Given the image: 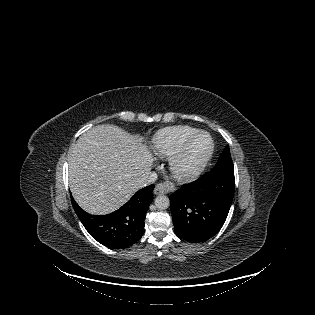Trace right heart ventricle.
I'll return each mask as SVG.
<instances>
[{
    "mask_svg": "<svg viewBox=\"0 0 315 315\" xmlns=\"http://www.w3.org/2000/svg\"><path fill=\"white\" fill-rule=\"evenodd\" d=\"M197 131H199L197 128L187 125L163 128L153 136L150 144L151 149L160 158L170 157L189 136Z\"/></svg>",
    "mask_w": 315,
    "mask_h": 315,
    "instance_id": "e07e8e85",
    "label": "right heart ventricle"
}]
</instances>
